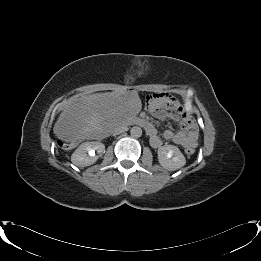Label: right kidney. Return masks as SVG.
I'll list each match as a JSON object with an SVG mask.
<instances>
[{
    "mask_svg": "<svg viewBox=\"0 0 261 261\" xmlns=\"http://www.w3.org/2000/svg\"><path fill=\"white\" fill-rule=\"evenodd\" d=\"M105 152V145L98 141L84 142L73 152L71 161L79 167H86L94 164L98 155Z\"/></svg>",
    "mask_w": 261,
    "mask_h": 261,
    "instance_id": "ca27d5eb",
    "label": "right kidney"
}]
</instances>
